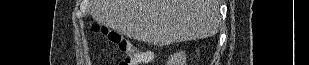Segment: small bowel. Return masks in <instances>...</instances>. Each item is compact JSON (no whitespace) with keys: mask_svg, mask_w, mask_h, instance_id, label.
Listing matches in <instances>:
<instances>
[{"mask_svg":"<svg viewBox=\"0 0 309 65\" xmlns=\"http://www.w3.org/2000/svg\"><path fill=\"white\" fill-rule=\"evenodd\" d=\"M150 58H151V55H150V53H149L148 58H147V60H146L145 62H148V61L150 60ZM145 62H144V63H145Z\"/></svg>","mask_w":309,"mask_h":65,"instance_id":"obj_1","label":"small bowel"}]
</instances>
